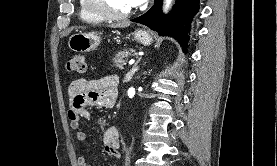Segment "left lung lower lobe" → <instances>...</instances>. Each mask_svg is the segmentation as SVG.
Returning <instances> with one entry per match:
<instances>
[{"label":"left lung lower lobe","instance_id":"obj_1","mask_svg":"<svg viewBox=\"0 0 277 166\" xmlns=\"http://www.w3.org/2000/svg\"><path fill=\"white\" fill-rule=\"evenodd\" d=\"M199 2L200 0H177L171 13L164 16L161 11L162 0H155L149 11L131 21L144 24L162 36L175 38L186 52L191 20L199 10Z\"/></svg>","mask_w":277,"mask_h":166}]
</instances>
